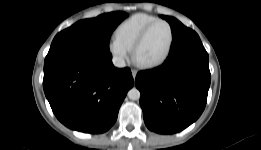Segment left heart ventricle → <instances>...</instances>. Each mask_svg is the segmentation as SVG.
Wrapping results in <instances>:
<instances>
[{
  "instance_id": "obj_1",
  "label": "left heart ventricle",
  "mask_w": 261,
  "mask_h": 150,
  "mask_svg": "<svg viewBox=\"0 0 261 150\" xmlns=\"http://www.w3.org/2000/svg\"><path fill=\"white\" fill-rule=\"evenodd\" d=\"M169 29L163 24L152 28L146 40L138 51V59L142 62H152L164 56L169 45Z\"/></svg>"
}]
</instances>
